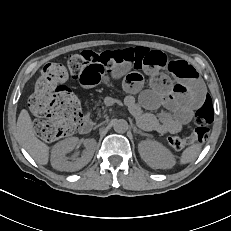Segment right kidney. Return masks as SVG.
<instances>
[{
    "label": "right kidney",
    "mask_w": 231,
    "mask_h": 231,
    "mask_svg": "<svg viewBox=\"0 0 231 231\" xmlns=\"http://www.w3.org/2000/svg\"><path fill=\"white\" fill-rule=\"evenodd\" d=\"M78 141L77 137H71L62 140L53 146L51 152V165L54 169L74 172L82 169L90 162L96 147L95 139H85L83 141L85 149L83 150L81 157L74 158L72 161L67 160L66 155L75 148Z\"/></svg>",
    "instance_id": "1"
}]
</instances>
